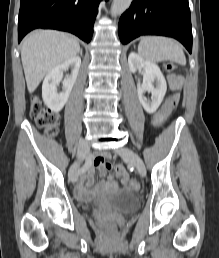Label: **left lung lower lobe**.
I'll use <instances>...</instances> for the list:
<instances>
[{
    "mask_svg": "<svg viewBox=\"0 0 219 258\" xmlns=\"http://www.w3.org/2000/svg\"><path fill=\"white\" fill-rule=\"evenodd\" d=\"M123 44L141 35H163L179 40L192 52V26L188 0H133L119 20Z\"/></svg>",
    "mask_w": 219,
    "mask_h": 258,
    "instance_id": "1",
    "label": "left lung lower lobe"
}]
</instances>
